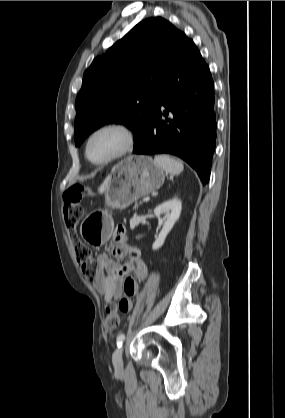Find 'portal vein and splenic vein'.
Returning a JSON list of instances; mask_svg holds the SVG:
<instances>
[{
	"mask_svg": "<svg viewBox=\"0 0 285 418\" xmlns=\"http://www.w3.org/2000/svg\"><path fill=\"white\" fill-rule=\"evenodd\" d=\"M150 200V197H145L144 199H143V202H148Z\"/></svg>",
	"mask_w": 285,
	"mask_h": 418,
	"instance_id": "portal-vein-and-splenic-vein-1",
	"label": "portal vein and splenic vein"
}]
</instances>
